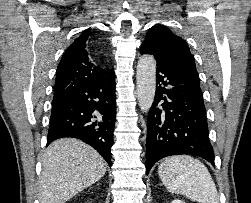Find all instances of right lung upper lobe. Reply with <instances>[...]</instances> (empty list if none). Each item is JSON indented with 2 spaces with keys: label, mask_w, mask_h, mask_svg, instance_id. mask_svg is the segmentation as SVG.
<instances>
[{
  "label": "right lung upper lobe",
  "mask_w": 251,
  "mask_h": 203,
  "mask_svg": "<svg viewBox=\"0 0 251 203\" xmlns=\"http://www.w3.org/2000/svg\"><path fill=\"white\" fill-rule=\"evenodd\" d=\"M91 28L67 48L57 68L54 100L61 99L87 82L94 81L110 73V69L96 66L87 51Z\"/></svg>",
  "instance_id": "obj_1"
}]
</instances>
